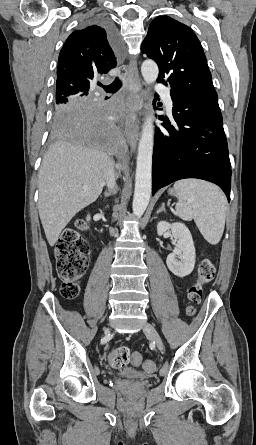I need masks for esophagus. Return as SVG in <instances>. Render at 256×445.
<instances>
[{"instance_id": "obj_1", "label": "esophagus", "mask_w": 256, "mask_h": 445, "mask_svg": "<svg viewBox=\"0 0 256 445\" xmlns=\"http://www.w3.org/2000/svg\"><path fill=\"white\" fill-rule=\"evenodd\" d=\"M126 83H131L132 87L128 89L129 93V112L125 122V136L132 151L136 150L139 139L140 119L138 112L143 106V94L140 91V76L137 68V60L133 57L127 68Z\"/></svg>"}]
</instances>
